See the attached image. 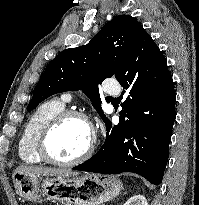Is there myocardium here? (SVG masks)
<instances>
[{"mask_svg": "<svg viewBox=\"0 0 199 205\" xmlns=\"http://www.w3.org/2000/svg\"><path fill=\"white\" fill-rule=\"evenodd\" d=\"M70 118H77V119L82 120L89 128L91 138H90L88 146L80 155L72 159L62 160L51 154L50 149H49V140H50V137L53 131L63 121L70 119ZM95 144H96L95 132H94L93 126L91 122L89 121L87 115L77 110H63L59 112L58 114H56L54 117H52L42 127L37 137L36 150H37L38 155L41 157V159L44 162L57 165V166H72V165H76L88 159L95 150Z\"/></svg>", "mask_w": 199, "mask_h": 205, "instance_id": "myocardium-1", "label": "myocardium"}]
</instances>
